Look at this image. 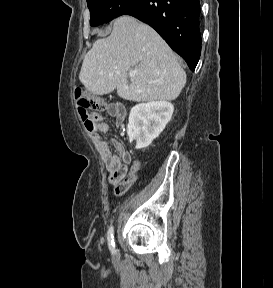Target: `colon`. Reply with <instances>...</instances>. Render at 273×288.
<instances>
[{
  "mask_svg": "<svg viewBox=\"0 0 273 288\" xmlns=\"http://www.w3.org/2000/svg\"><path fill=\"white\" fill-rule=\"evenodd\" d=\"M75 101L85 127L88 131H93L96 127V113L104 110V101L97 97L87 96L81 89H76Z\"/></svg>",
  "mask_w": 273,
  "mask_h": 288,
  "instance_id": "colon-1",
  "label": "colon"
}]
</instances>
